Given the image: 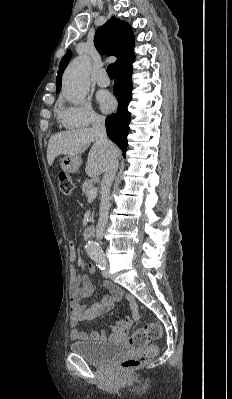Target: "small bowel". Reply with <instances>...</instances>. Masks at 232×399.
Segmentation results:
<instances>
[{"label":"small bowel","instance_id":"small-bowel-1","mask_svg":"<svg viewBox=\"0 0 232 399\" xmlns=\"http://www.w3.org/2000/svg\"><path fill=\"white\" fill-rule=\"evenodd\" d=\"M77 255V247L75 242L69 243V257L73 261ZM98 275V269L93 267L90 269L89 274L78 271L76 267L70 266L69 268V304L71 314L69 317V337L72 341L79 344L97 343L102 339H113L118 337L121 333L131 330L132 324L129 320L125 322H116L110 325L111 332L109 334L99 333L96 331L91 332L90 338L86 333L79 328L80 323L87 319L95 318L96 316L106 312L110 309L115 302L125 297L126 301L133 311L135 320H139V308L136 303L135 296L132 294H124L121 290L116 288L109 280H103V287L113 293V297L105 296L101 301H98L90 306L80 304V300L84 294H92V289L82 290L80 284L82 282H89L92 277Z\"/></svg>","mask_w":232,"mask_h":399}]
</instances>
